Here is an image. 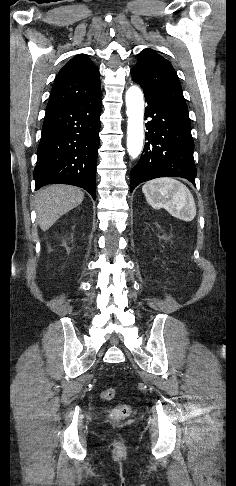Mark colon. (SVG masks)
I'll return each instance as SVG.
<instances>
[{
  "mask_svg": "<svg viewBox=\"0 0 236 486\" xmlns=\"http://www.w3.org/2000/svg\"><path fill=\"white\" fill-rule=\"evenodd\" d=\"M116 391L114 388H109L101 393V397L104 400H111L115 397ZM131 413V407L128 404H120L114 407L111 412V417L115 421H121L126 419Z\"/></svg>",
  "mask_w": 236,
  "mask_h": 486,
  "instance_id": "obj_1",
  "label": "colon"
}]
</instances>
